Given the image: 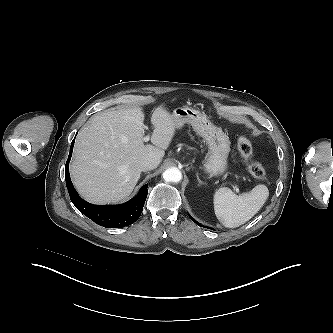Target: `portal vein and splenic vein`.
I'll return each instance as SVG.
<instances>
[{
	"mask_svg": "<svg viewBox=\"0 0 333 333\" xmlns=\"http://www.w3.org/2000/svg\"><path fill=\"white\" fill-rule=\"evenodd\" d=\"M143 141L144 142L149 141V136L143 137ZM235 190H236V192H239V189L237 187H235Z\"/></svg>",
	"mask_w": 333,
	"mask_h": 333,
	"instance_id": "18ae733b",
	"label": "portal vein and splenic vein"
}]
</instances>
